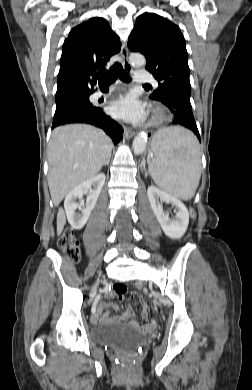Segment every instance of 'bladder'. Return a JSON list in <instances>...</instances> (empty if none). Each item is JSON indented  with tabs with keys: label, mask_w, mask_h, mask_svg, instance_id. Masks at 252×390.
<instances>
[{
	"label": "bladder",
	"mask_w": 252,
	"mask_h": 390,
	"mask_svg": "<svg viewBox=\"0 0 252 390\" xmlns=\"http://www.w3.org/2000/svg\"><path fill=\"white\" fill-rule=\"evenodd\" d=\"M91 338L96 344L124 349L137 347L146 341L145 335L113 322L94 324Z\"/></svg>",
	"instance_id": "bladder-1"
}]
</instances>
